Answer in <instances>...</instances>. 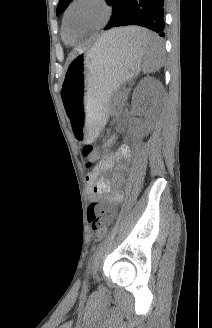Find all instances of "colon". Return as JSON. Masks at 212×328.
I'll use <instances>...</instances> for the list:
<instances>
[{"label": "colon", "mask_w": 212, "mask_h": 328, "mask_svg": "<svg viewBox=\"0 0 212 328\" xmlns=\"http://www.w3.org/2000/svg\"><path fill=\"white\" fill-rule=\"evenodd\" d=\"M83 157L87 161V166L91 167L98 158V151L92 144H87L82 149ZM106 208L97 202H93L87 209L88 221L92 224L93 232L102 237L106 233L105 227L100 223L101 217L104 215Z\"/></svg>", "instance_id": "5ec220e1"}]
</instances>
